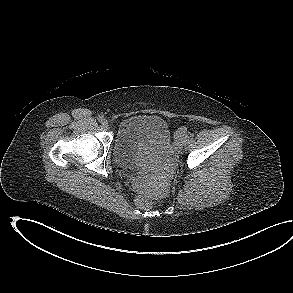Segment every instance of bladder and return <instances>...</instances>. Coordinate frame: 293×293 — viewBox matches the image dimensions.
<instances>
[{"mask_svg":"<svg viewBox=\"0 0 293 293\" xmlns=\"http://www.w3.org/2000/svg\"><path fill=\"white\" fill-rule=\"evenodd\" d=\"M171 141L167 122L156 115L136 114L123 119L113 143L117 164L138 168L148 163L144 151L149 147H166Z\"/></svg>","mask_w":293,"mask_h":293,"instance_id":"1","label":"bladder"}]
</instances>
